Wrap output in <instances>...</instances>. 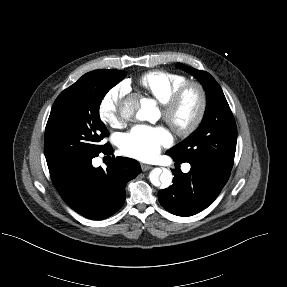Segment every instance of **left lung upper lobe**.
I'll list each match as a JSON object with an SVG mask.
<instances>
[{
	"label": "left lung upper lobe",
	"mask_w": 287,
	"mask_h": 287,
	"mask_svg": "<svg viewBox=\"0 0 287 287\" xmlns=\"http://www.w3.org/2000/svg\"><path fill=\"white\" fill-rule=\"evenodd\" d=\"M203 85L207 106L204 118L195 132L166 152L184 162L199 159L231 171L235 156L237 129L234 117L220 85L205 71L178 63Z\"/></svg>",
	"instance_id": "5c2ea615"
}]
</instances>
